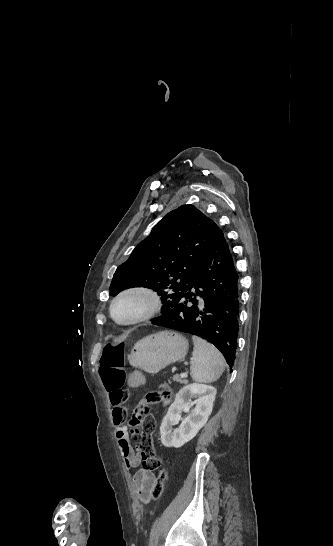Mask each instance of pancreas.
I'll use <instances>...</instances> for the list:
<instances>
[{
  "label": "pancreas",
  "mask_w": 333,
  "mask_h": 546,
  "mask_svg": "<svg viewBox=\"0 0 333 546\" xmlns=\"http://www.w3.org/2000/svg\"><path fill=\"white\" fill-rule=\"evenodd\" d=\"M172 379H173L175 382L187 383L186 378H181V377H179V375H174V376L172 377Z\"/></svg>",
  "instance_id": "obj_1"
}]
</instances>
